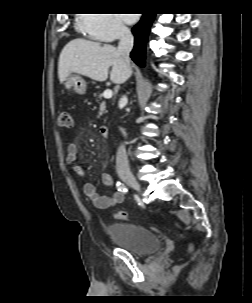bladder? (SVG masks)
<instances>
[{"label": "bladder", "mask_w": 252, "mask_h": 303, "mask_svg": "<svg viewBox=\"0 0 252 303\" xmlns=\"http://www.w3.org/2000/svg\"><path fill=\"white\" fill-rule=\"evenodd\" d=\"M108 234L119 247L137 255L155 254L161 248L158 236L142 225L111 223Z\"/></svg>", "instance_id": "obj_1"}]
</instances>
